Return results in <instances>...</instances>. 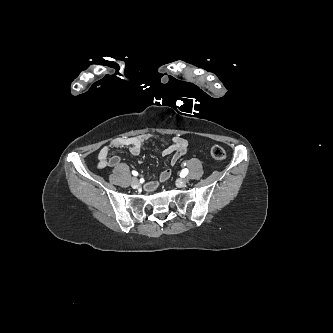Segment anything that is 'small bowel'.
Wrapping results in <instances>:
<instances>
[{"label":"small bowel","mask_w":333,"mask_h":333,"mask_svg":"<svg viewBox=\"0 0 333 333\" xmlns=\"http://www.w3.org/2000/svg\"><path fill=\"white\" fill-rule=\"evenodd\" d=\"M151 139L150 135H138L134 137H119L112 140L109 144L102 147L98 153V169L106 167H116L120 164V157L117 155L110 156L113 149H127L131 154L138 155L141 151L142 145ZM188 143L184 138L174 137L171 144L162 150L164 156H171V164H176L179 159L187 153ZM171 176L170 169H165L159 176L160 182L167 181ZM158 182L151 180L146 183V190L153 192L157 189Z\"/></svg>","instance_id":"obj_1"}]
</instances>
